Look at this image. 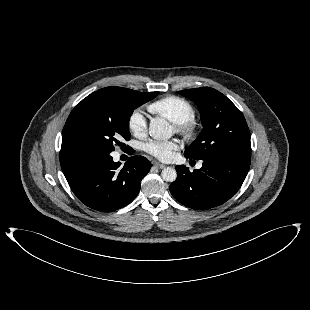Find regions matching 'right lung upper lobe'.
I'll return each instance as SVG.
<instances>
[{"mask_svg": "<svg viewBox=\"0 0 310 310\" xmlns=\"http://www.w3.org/2000/svg\"><path fill=\"white\" fill-rule=\"evenodd\" d=\"M122 91L128 92V93H133V94H147V93H139L137 91L131 90V89H127V88H121V87H116Z\"/></svg>", "mask_w": 310, "mask_h": 310, "instance_id": "obj_1", "label": "right lung upper lobe"}]
</instances>
